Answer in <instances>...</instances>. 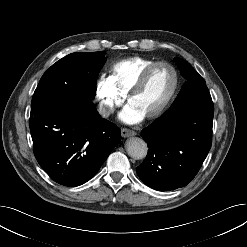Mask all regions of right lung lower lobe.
<instances>
[{"mask_svg":"<svg viewBox=\"0 0 247 247\" xmlns=\"http://www.w3.org/2000/svg\"><path fill=\"white\" fill-rule=\"evenodd\" d=\"M34 155L57 183L75 187L90 180L121 140L120 129L95 109L53 102L30 114Z\"/></svg>","mask_w":247,"mask_h":247,"instance_id":"obj_1","label":"right lung lower lobe"}]
</instances>
